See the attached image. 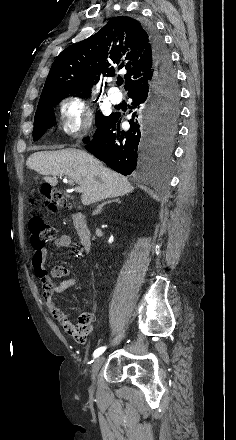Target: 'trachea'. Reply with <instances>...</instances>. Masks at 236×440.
I'll use <instances>...</instances> for the list:
<instances>
[{
  "instance_id": "3493384b",
  "label": "trachea",
  "mask_w": 236,
  "mask_h": 440,
  "mask_svg": "<svg viewBox=\"0 0 236 440\" xmlns=\"http://www.w3.org/2000/svg\"><path fill=\"white\" fill-rule=\"evenodd\" d=\"M123 82H124V80H123L122 78L117 80V84H118V85H122Z\"/></svg>"
}]
</instances>
